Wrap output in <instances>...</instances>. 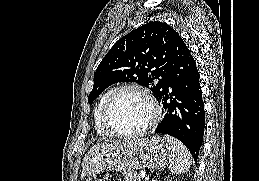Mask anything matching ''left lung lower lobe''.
Listing matches in <instances>:
<instances>
[{
  "instance_id": "1",
  "label": "left lung lower lobe",
  "mask_w": 259,
  "mask_h": 181,
  "mask_svg": "<svg viewBox=\"0 0 259 181\" xmlns=\"http://www.w3.org/2000/svg\"><path fill=\"white\" fill-rule=\"evenodd\" d=\"M170 70L157 98L165 110L154 132L184 143L195 162L203 141L205 112L200 77L194 58L179 36L174 43Z\"/></svg>"
}]
</instances>
